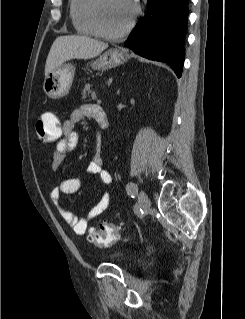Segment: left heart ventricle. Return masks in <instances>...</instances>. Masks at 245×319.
I'll use <instances>...</instances> for the list:
<instances>
[{
  "mask_svg": "<svg viewBox=\"0 0 245 319\" xmlns=\"http://www.w3.org/2000/svg\"><path fill=\"white\" fill-rule=\"evenodd\" d=\"M132 6L127 0H103L101 7V22L110 32L122 30L130 21Z\"/></svg>",
  "mask_w": 245,
  "mask_h": 319,
  "instance_id": "1",
  "label": "left heart ventricle"
}]
</instances>
